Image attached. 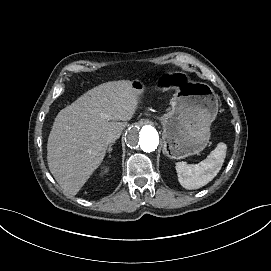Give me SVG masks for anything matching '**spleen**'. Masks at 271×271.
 <instances>
[{"instance_id":"3e777b00","label":"spleen","mask_w":271,"mask_h":271,"mask_svg":"<svg viewBox=\"0 0 271 271\" xmlns=\"http://www.w3.org/2000/svg\"><path fill=\"white\" fill-rule=\"evenodd\" d=\"M225 150V144L219 143L211 154L198 164L177 162L175 164L177 176L187 178V180L190 183H194L196 187L205 185L219 172L225 158Z\"/></svg>"}]
</instances>
